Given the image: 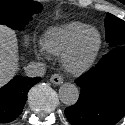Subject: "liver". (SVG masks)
I'll return each instance as SVG.
<instances>
[{"instance_id":"liver-1","label":"liver","mask_w":125,"mask_h":125,"mask_svg":"<svg viewBox=\"0 0 125 125\" xmlns=\"http://www.w3.org/2000/svg\"><path fill=\"white\" fill-rule=\"evenodd\" d=\"M18 70V45L15 31L0 25V87Z\"/></svg>"}]
</instances>
